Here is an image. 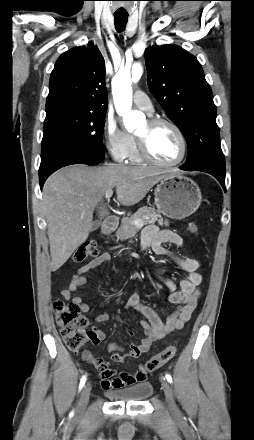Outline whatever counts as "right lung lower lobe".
Instances as JSON below:
<instances>
[{
    "instance_id": "right-lung-lower-lobe-1",
    "label": "right lung lower lobe",
    "mask_w": 254,
    "mask_h": 440,
    "mask_svg": "<svg viewBox=\"0 0 254 440\" xmlns=\"http://www.w3.org/2000/svg\"><path fill=\"white\" fill-rule=\"evenodd\" d=\"M89 165H94V164H89ZM47 177H48V176H45V177H43V178H39L40 188L43 187V184H44V182H45V180H46Z\"/></svg>"
}]
</instances>
